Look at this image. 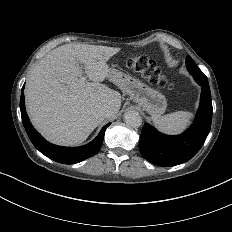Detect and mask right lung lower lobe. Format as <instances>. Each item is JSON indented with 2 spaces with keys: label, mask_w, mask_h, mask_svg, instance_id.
<instances>
[{
  "label": "right lung lower lobe",
  "mask_w": 232,
  "mask_h": 232,
  "mask_svg": "<svg viewBox=\"0 0 232 232\" xmlns=\"http://www.w3.org/2000/svg\"><path fill=\"white\" fill-rule=\"evenodd\" d=\"M23 89L24 86L22 88L20 99L22 122L29 139L42 154L59 163L75 164L95 155L99 151L102 146L105 130L110 123L106 124L101 129L99 135L87 145L81 147H62L53 145L47 142L31 125L25 109Z\"/></svg>",
  "instance_id": "98d812e1"
}]
</instances>
